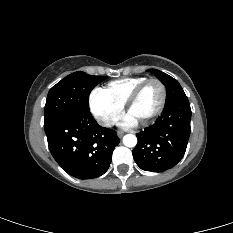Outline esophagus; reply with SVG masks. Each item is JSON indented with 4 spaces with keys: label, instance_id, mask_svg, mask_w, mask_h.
Here are the masks:
<instances>
[{
    "label": "esophagus",
    "instance_id": "1",
    "mask_svg": "<svg viewBox=\"0 0 233 233\" xmlns=\"http://www.w3.org/2000/svg\"><path fill=\"white\" fill-rule=\"evenodd\" d=\"M117 135H118L119 138H121V137H123L124 133L121 132V131H119V132L117 133Z\"/></svg>",
    "mask_w": 233,
    "mask_h": 233
}]
</instances>
